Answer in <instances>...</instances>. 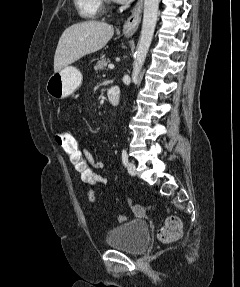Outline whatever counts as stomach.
Listing matches in <instances>:
<instances>
[{"label": "stomach", "mask_w": 240, "mask_h": 287, "mask_svg": "<svg viewBox=\"0 0 240 287\" xmlns=\"http://www.w3.org/2000/svg\"><path fill=\"white\" fill-rule=\"evenodd\" d=\"M82 79V73L78 68L66 66L49 77L46 91L54 99H63L80 87Z\"/></svg>", "instance_id": "stomach-1"}]
</instances>
